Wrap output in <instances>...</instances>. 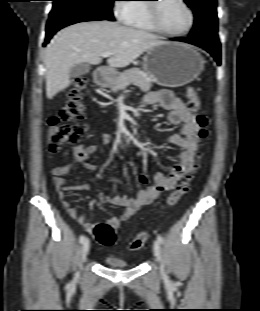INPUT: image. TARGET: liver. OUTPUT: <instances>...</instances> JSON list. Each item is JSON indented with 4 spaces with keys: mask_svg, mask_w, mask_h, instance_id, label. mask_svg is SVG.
I'll list each match as a JSON object with an SVG mask.
<instances>
[{
    "mask_svg": "<svg viewBox=\"0 0 260 311\" xmlns=\"http://www.w3.org/2000/svg\"><path fill=\"white\" fill-rule=\"evenodd\" d=\"M165 41L140 29L117 22H81L59 31L45 51L46 95L52 99L71 84L70 68L80 63L100 64L111 53V69L128 66L145 51Z\"/></svg>",
    "mask_w": 260,
    "mask_h": 311,
    "instance_id": "6515ba94",
    "label": "liver"
}]
</instances>
